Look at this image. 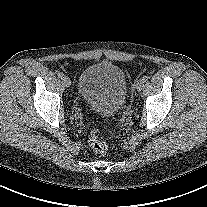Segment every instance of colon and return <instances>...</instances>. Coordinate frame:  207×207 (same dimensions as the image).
Instances as JSON below:
<instances>
[{
  "instance_id": "obj_1",
  "label": "colon",
  "mask_w": 207,
  "mask_h": 207,
  "mask_svg": "<svg viewBox=\"0 0 207 207\" xmlns=\"http://www.w3.org/2000/svg\"><path fill=\"white\" fill-rule=\"evenodd\" d=\"M88 142L96 154L103 156L107 153L108 145L105 141L101 140L99 131H92L89 135Z\"/></svg>"
}]
</instances>
